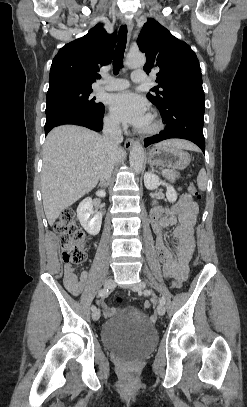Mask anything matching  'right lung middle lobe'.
I'll return each mask as SVG.
<instances>
[{
	"label": "right lung middle lobe",
	"mask_w": 247,
	"mask_h": 407,
	"mask_svg": "<svg viewBox=\"0 0 247 407\" xmlns=\"http://www.w3.org/2000/svg\"><path fill=\"white\" fill-rule=\"evenodd\" d=\"M91 87H62L47 92L46 114L65 109L98 112L103 107L90 94Z\"/></svg>",
	"instance_id": "1"
}]
</instances>
